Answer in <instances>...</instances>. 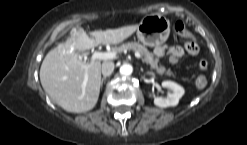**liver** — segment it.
Returning <instances> with one entry per match:
<instances>
[{
    "label": "liver",
    "instance_id": "1",
    "mask_svg": "<svg viewBox=\"0 0 247 145\" xmlns=\"http://www.w3.org/2000/svg\"><path fill=\"white\" fill-rule=\"evenodd\" d=\"M138 25L94 31L89 37L82 28H73L71 36L45 56L40 81L51 100L73 113L87 112L98 101L101 85V62L86 63L78 54L97 45H115L130 37ZM88 80L84 85L85 74Z\"/></svg>",
    "mask_w": 247,
    "mask_h": 145
}]
</instances>
